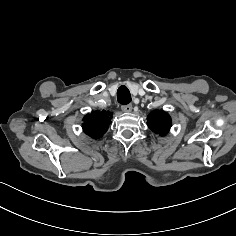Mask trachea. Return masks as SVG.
Here are the masks:
<instances>
[{"mask_svg":"<svg viewBox=\"0 0 236 236\" xmlns=\"http://www.w3.org/2000/svg\"><path fill=\"white\" fill-rule=\"evenodd\" d=\"M117 100L120 104L127 105L131 102V94L128 88L124 85L117 90Z\"/></svg>","mask_w":236,"mask_h":236,"instance_id":"obj_1","label":"trachea"}]
</instances>
